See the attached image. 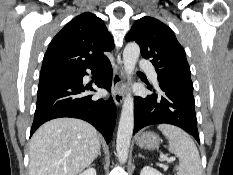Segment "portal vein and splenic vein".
<instances>
[{
    "label": "portal vein and splenic vein",
    "instance_id": "obj_1",
    "mask_svg": "<svg viewBox=\"0 0 233 175\" xmlns=\"http://www.w3.org/2000/svg\"><path fill=\"white\" fill-rule=\"evenodd\" d=\"M166 160H167V162H173V161H175V158L174 157H170V158H166Z\"/></svg>",
    "mask_w": 233,
    "mask_h": 175
}]
</instances>
